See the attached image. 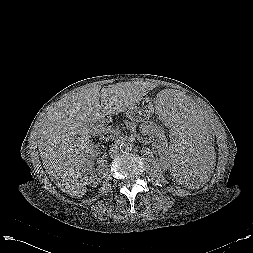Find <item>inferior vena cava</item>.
<instances>
[{
  "mask_svg": "<svg viewBox=\"0 0 253 253\" xmlns=\"http://www.w3.org/2000/svg\"><path fill=\"white\" fill-rule=\"evenodd\" d=\"M93 129H95L96 131H100V128H98V127H93ZM119 152H120V150H119V148H118V143H116L115 145H113L111 148H110V152H109V154L111 155V156H116V155H118L119 154Z\"/></svg>",
  "mask_w": 253,
  "mask_h": 253,
  "instance_id": "obj_1",
  "label": "inferior vena cava"
}]
</instances>
